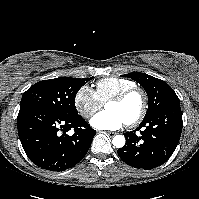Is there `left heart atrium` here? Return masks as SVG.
<instances>
[{
  "mask_svg": "<svg viewBox=\"0 0 199 199\" xmlns=\"http://www.w3.org/2000/svg\"><path fill=\"white\" fill-rule=\"evenodd\" d=\"M91 125L99 130H118L127 122L117 112L104 111L91 119Z\"/></svg>",
  "mask_w": 199,
  "mask_h": 199,
  "instance_id": "39dd6f15",
  "label": "left heart atrium"
}]
</instances>
